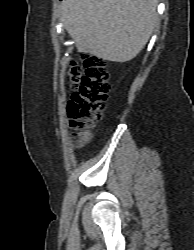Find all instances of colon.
<instances>
[{
  "mask_svg": "<svg viewBox=\"0 0 194 250\" xmlns=\"http://www.w3.org/2000/svg\"><path fill=\"white\" fill-rule=\"evenodd\" d=\"M109 69L104 60L87 55L82 65L71 62L68 69L70 86L74 89L67 114L78 144L90 139L94 125L102 118L109 92Z\"/></svg>",
  "mask_w": 194,
  "mask_h": 250,
  "instance_id": "1",
  "label": "colon"
}]
</instances>
